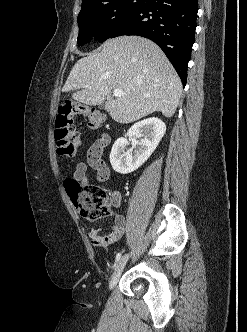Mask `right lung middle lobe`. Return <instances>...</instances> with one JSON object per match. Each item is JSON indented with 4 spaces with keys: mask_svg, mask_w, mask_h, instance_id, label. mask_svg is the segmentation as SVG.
Instances as JSON below:
<instances>
[{
    "mask_svg": "<svg viewBox=\"0 0 247 332\" xmlns=\"http://www.w3.org/2000/svg\"><path fill=\"white\" fill-rule=\"evenodd\" d=\"M147 0H101L78 15V46L92 36L99 42L109 38L111 31L126 17L137 11Z\"/></svg>",
    "mask_w": 247,
    "mask_h": 332,
    "instance_id": "dd1d6c3e",
    "label": "right lung middle lobe"
}]
</instances>
